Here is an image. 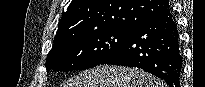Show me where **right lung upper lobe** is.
I'll return each instance as SVG.
<instances>
[{
  "label": "right lung upper lobe",
  "mask_w": 205,
  "mask_h": 87,
  "mask_svg": "<svg viewBox=\"0 0 205 87\" xmlns=\"http://www.w3.org/2000/svg\"><path fill=\"white\" fill-rule=\"evenodd\" d=\"M168 9L167 0H72L58 24L54 43L100 29L134 31Z\"/></svg>",
  "instance_id": "obj_1"
}]
</instances>
